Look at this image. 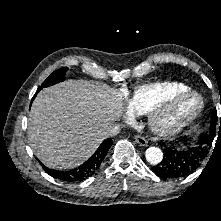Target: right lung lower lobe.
Here are the masks:
<instances>
[{
	"instance_id": "right-lung-lower-lobe-1",
	"label": "right lung lower lobe",
	"mask_w": 221,
	"mask_h": 221,
	"mask_svg": "<svg viewBox=\"0 0 221 221\" xmlns=\"http://www.w3.org/2000/svg\"><path fill=\"white\" fill-rule=\"evenodd\" d=\"M41 89H42L41 87L38 88L36 94ZM36 94L34 95L33 99L35 98ZM112 143H113L112 139L104 140L100 145V147L96 150V152L78 168L67 171L54 170L47 168L45 166L43 168L49 175L62 181L66 182L83 181L89 176L93 175L95 171L100 167Z\"/></svg>"
}]
</instances>
